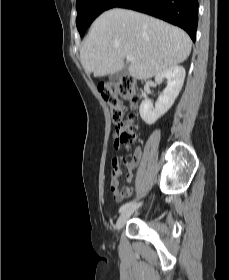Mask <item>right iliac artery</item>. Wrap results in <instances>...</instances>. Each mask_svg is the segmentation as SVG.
I'll return each mask as SVG.
<instances>
[{"instance_id": "obj_1", "label": "right iliac artery", "mask_w": 229, "mask_h": 280, "mask_svg": "<svg viewBox=\"0 0 229 280\" xmlns=\"http://www.w3.org/2000/svg\"><path fill=\"white\" fill-rule=\"evenodd\" d=\"M133 204H134V201H133V202H128V203L123 204V205L120 207L119 212L122 213V212L125 211L126 209L130 208Z\"/></svg>"}]
</instances>
